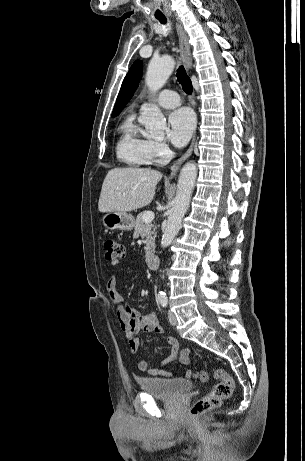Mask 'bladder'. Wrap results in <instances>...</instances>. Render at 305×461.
Listing matches in <instances>:
<instances>
[{
	"label": "bladder",
	"mask_w": 305,
	"mask_h": 461,
	"mask_svg": "<svg viewBox=\"0 0 305 461\" xmlns=\"http://www.w3.org/2000/svg\"><path fill=\"white\" fill-rule=\"evenodd\" d=\"M137 383L142 392L165 400L176 399L180 394L192 388V383L187 379L157 376L139 377Z\"/></svg>",
	"instance_id": "bladder-1"
}]
</instances>
